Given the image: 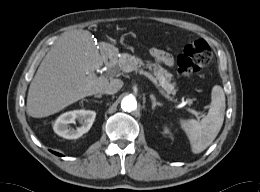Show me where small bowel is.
<instances>
[{
    "instance_id": "c3829d8e",
    "label": "small bowel",
    "mask_w": 260,
    "mask_h": 192,
    "mask_svg": "<svg viewBox=\"0 0 260 192\" xmlns=\"http://www.w3.org/2000/svg\"><path fill=\"white\" fill-rule=\"evenodd\" d=\"M150 53L152 57L160 64H163L165 66H172L174 63L173 56L164 50L152 48Z\"/></svg>"
}]
</instances>
